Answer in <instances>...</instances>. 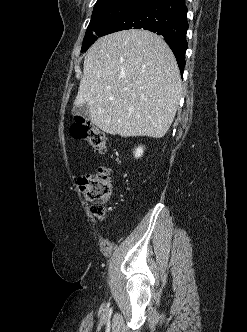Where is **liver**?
I'll list each match as a JSON object with an SVG mask.
<instances>
[{
  "label": "liver",
  "mask_w": 247,
  "mask_h": 332,
  "mask_svg": "<svg viewBox=\"0 0 247 332\" xmlns=\"http://www.w3.org/2000/svg\"><path fill=\"white\" fill-rule=\"evenodd\" d=\"M182 95L175 57L166 42L146 30H123L99 38L84 60L75 106L87 104L103 132L161 138Z\"/></svg>",
  "instance_id": "1"
}]
</instances>
